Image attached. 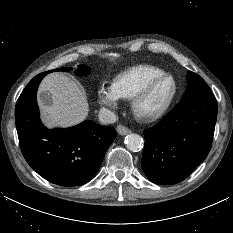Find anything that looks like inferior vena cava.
Segmentation results:
<instances>
[{
  "mask_svg": "<svg viewBox=\"0 0 233 233\" xmlns=\"http://www.w3.org/2000/svg\"><path fill=\"white\" fill-rule=\"evenodd\" d=\"M98 116L102 124H112L118 120V116L106 108H102Z\"/></svg>",
  "mask_w": 233,
  "mask_h": 233,
  "instance_id": "inferior-vena-cava-1",
  "label": "inferior vena cava"
}]
</instances>
